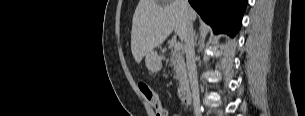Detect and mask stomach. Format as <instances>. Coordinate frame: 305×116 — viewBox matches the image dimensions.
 Returning <instances> with one entry per match:
<instances>
[{
    "instance_id": "stomach-1",
    "label": "stomach",
    "mask_w": 305,
    "mask_h": 116,
    "mask_svg": "<svg viewBox=\"0 0 305 116\" xmlns=\"http://www.w3.org/2000/svg\"><path fill=\"white\" fill-rule=\"evenodd\" d=\"M145 64L150 72H159L162 69V57L153 50L146 55Z\"/></svg>"
}]
</instances>
